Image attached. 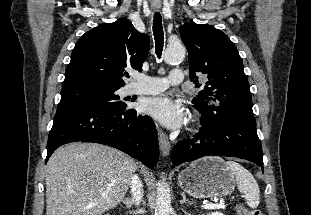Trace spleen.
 I'll return each instance as SVG.
<instances>
[{"label": "spleen", "mask_w": 311, "mask_h": 215, "mask_svg": "<svg viewBox=\"0 0 311 215\" xmlns=\"http://www.w3.org/2000/svg\"><path fill=\"white\" fill-rule=\"evenodd\" d=\"M226 165L234 174L237 188L245 195L247 205L257 208L260 203V191L253 175L235 161L229 160Z\"/></svg>", "instance_id": "obj_1"}]
</instances>
